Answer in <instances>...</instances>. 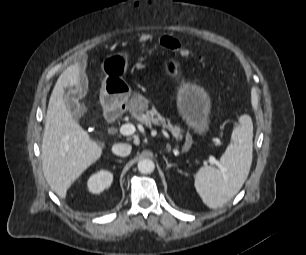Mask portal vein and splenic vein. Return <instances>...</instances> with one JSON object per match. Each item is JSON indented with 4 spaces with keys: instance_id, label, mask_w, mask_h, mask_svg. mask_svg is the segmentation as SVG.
I'll return each instance as SVG.
<instances>
[{
    "instance_id": "portal-vein-and-splenic-vein-1",
    "label": "portal vein and splenic vein",
    "mask_w": 306,
    "mask_h": 255,
    "mask_svg": "<svg viewBox=\"0 0 306 255\" xmlns=\"http://www.w3.org/2000/svg\"><path fill=\"white\" fill-rule=\"evenodd\" d=\"M136 128L133 124L131 123H127V124H123L120 129H119V132L120 134L124 135V136H128V135H132L134 132H135ZM163 135L167 138H169V135L166 131H162ZM209 161L212 163V164H215L217 165L219 168H222V165L220 164L219 161L216 160L215 157L213 156H209Z\"/></svg>"
}]
</instances>
